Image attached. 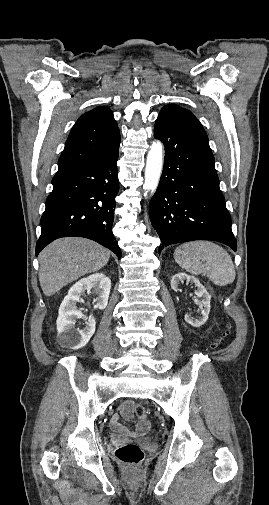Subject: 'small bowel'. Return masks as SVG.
Masks as SVG:
<instances>
[{"mask_svg":"<svg viewBox=\"0 0 269 505\" xmlns=\"http://www.w3.org/2000/svg\"><path fill=\"white\" fill-rule=\"evenodd\" d=\"M134 408V403L131 400H126L124 401L121 406H120V412L127 418H130L132 416V410ZM110 426L113 431L119 433V434H124V435H129V436H138L147 431V429L150 426V423L147 419L145 418H140L139 422L137 423V426L134 430H129L126 428L124 425L120 423L119 416L114 415L112 416L110 420Z\"/></svg>","mask_w":269,"mask_h":505,"instance_id":"obj_1","label":"small bowel"}]
</instances>
